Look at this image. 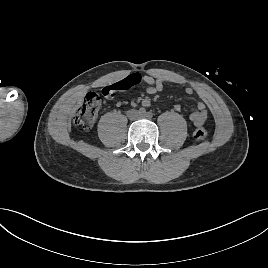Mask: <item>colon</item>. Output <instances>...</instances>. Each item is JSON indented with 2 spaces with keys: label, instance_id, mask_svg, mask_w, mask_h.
<instances>
[{
  "label": "colon",
  "instance_id": "colon-1",
  "mask_svg": "<svg viewBox=\"0 0 268 268\" xmlns=\"http://www.w3.org/2000/svg\"><path fill=\"white\" fill-rule=\"evenodd\" d=\"M136 84L137 81L135 79L126 78L118 83L103 88L102 96L112 98L116 91L130 89ZM100 106V95L96 92H88L83 102L74 111V123L83 129H91L96 121ZM193 136L196 140H203L207 136V131L203 127H198L195 129Z\"/></svg>",
  "mask_w": 268,
  "mask_h": 268
}]
</instances>
